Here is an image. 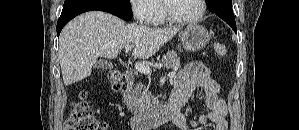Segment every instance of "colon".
Listing matches in <instances>:
<instances>
[{
  "instance_id": "colon-1",
  "label": "colon",
  "mask_w": 299,
  "mask_h": 130,
  "mask_svg": "<svg viewBox=\"0 0 299 130\" xmlns=\"http://www.w3.org/2000/svg\"><path fill=\"white\" fill-rule=\"evenodd\" d=\"M213 49L218 56L227 54V48L224 44L215 43ZM105 79L114 90L120 89L125 81L124 74L115 70L108 71L105 74ZM64 128L65 130H102V124L92 115L90 102L85 92L81 93L80 101L74 105Z\"/></svg>"
}]
</instances>
